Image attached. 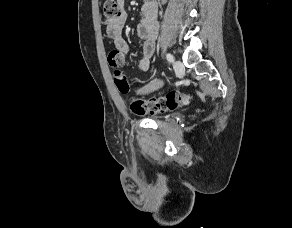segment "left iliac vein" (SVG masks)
Segmentation results:
<instances>
[{"instance_id":"4c4485c4","label":"left iliac vein","mask_w":292,"mask_h":228,"mask_svg":"<svg viewBox=\"0 0 292 228\" xmlns=\"http://www.w3.org/2000/svg\"><path fill=\"white\" fill-rule=\"evenodd\" d=\"M173 67H174V70L176 72V74L178 76H183L184 73H185V67L183 65V63L179 60H176L174 63H173Z\"/></svg>"}]
</instances>
